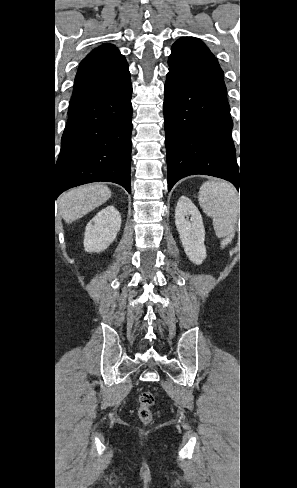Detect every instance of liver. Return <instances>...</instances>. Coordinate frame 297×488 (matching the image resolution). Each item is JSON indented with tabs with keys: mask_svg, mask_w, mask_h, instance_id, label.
Listing matches in <instances>:
<instances>
[{
	"mask_svg": "<svg viewBox=\"0 0 297 488\" xmlns=\"http://www.w3.org/2000/svg\"><path fill=\"white\" fill-rule=\"evenodd\" d=\"M111 196L109 188L102 184H89L64 193L59 201V212L66 223L83 217L105 203Z\"/></svg>",
	"mask_w": 297,
	"mask_h": 488,
	"instance_id": "liver-1",
	"label": "liver"
}]
</instances>
